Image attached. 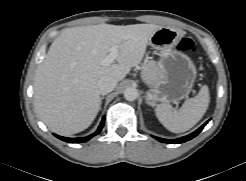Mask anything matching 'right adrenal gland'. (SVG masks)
<instances>
[{
    "mask_svg": "<svg viewBox=\"0 0 246 181\" xmlns=\"http://www.w3.org/2000/svg\"><path fill=\"white\" fill-rule=\"evenodd\" d=\"M104 99V96H102L101 98H100V101H99V109L101 108V105H102V100Z\"/></svg>",
    "mask_w": 246,
    "mask_h": 181,
    "instance_id": "right-adrenal-gland-1",
    "label": "right adrenal gland"
}]
</instances>
